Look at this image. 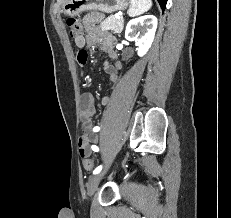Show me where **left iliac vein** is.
I'll use <instances>...</instances> for the list:
<instances>
[{"instance_id":"1","label":"left iliac vein","mask_w":231,"mask_h":218,"mask_svg":"<svg viewBox=\"0 0 231 218\" xmlns=\"http://www.w3.org/2000/svg\"><path fill=\"white\" fill-rule=\"evenodd\" d=\"M105 171L99 172L98 174H95L91 176L87 183V192L88 195L92 196L94 192L97 190L98 184L101 181Z\"/></svg>"}]
</instances>
